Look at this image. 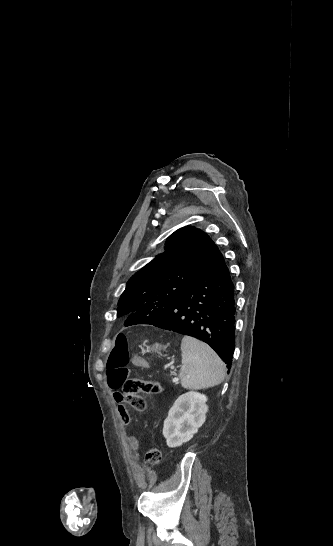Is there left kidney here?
I'll list each match as a JSON object with an SVG mask.
<instances>
[{"instance_id":"5707ae66","label":"left kidney","mask_w":333,"mask_h":546,"mask_svg":"<svg viewBox=\"0 0 333 546\" xmlns=\"http://www.w3.org/2000/svg\"><path fill=\"white\" fill-rule=\"evenodd\" d=\"M206 401L205 395L195 391L187 392L177 398L163 426V436L168 447H179L197 433L205 422L208 411Z\"/></svg>"}]
</instances>
